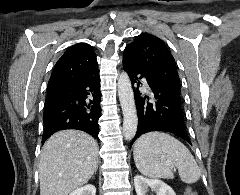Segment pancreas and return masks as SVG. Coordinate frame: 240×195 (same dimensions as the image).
Segmentation results:
<instances>
[{"label":"pancreas","mask_w":240,"mask_h":195,"mask_svg":"<svg viewBox=\"0 0 240 195\" xmlns=\"http://www.w3.org/2000/svg\"><path fill=\"white\" fill-rule=\"evenodd\" d=\"M170 179H172V177H174L173 173H171V175H169Z\"/></svg>","instance_id":"1"}]
</instances>
